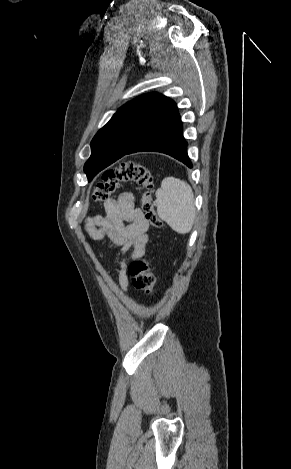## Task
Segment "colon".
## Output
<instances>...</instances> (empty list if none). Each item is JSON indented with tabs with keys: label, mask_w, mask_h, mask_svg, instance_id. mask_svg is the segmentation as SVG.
I'll use <instances>...</instances> for the list:
<instances>
[{
	"label": "colon",
	"mask_w": 291,
	"mask_h": 469,
	"mask_svg": "<svg viewBox=\"0 0 291 469\" xmlns=\"http://www.w3.org/2000/svg\"><path fill=\"white\" fill-rule=\"evenodd\" d=\"M128 181H134L144 189L142 196L144 217L150 226L160 229L162 221L156 212L151 195L153 176L149 168L144 164L125 162L116 168L106 170L102 175V180L97 183L93 190V200L97 202L108 200L122 183ZM129 273L133 278V285L137 290L146 294L154 292L156 277L150 270L147 258L133 260L129 265Z\"/></svg>",
	"instance_id": "obj_1"
}]
</instances>
